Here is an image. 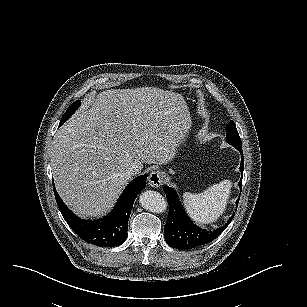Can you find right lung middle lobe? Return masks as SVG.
<instances>
[{
  "label": "right lung middle lobe",
  "mask_w": 307,
  "mask_h": 307,
  "mask_svg": "<svg viewBox=\"0 0 307 307\" xmlns=\"http://www.w3.org/2000/svg\"><path fill=\"white\" fill-rule=\"evenodd\" d=\"M80 106V102L79 100L75 101L69 108L68 110L65 112V114L63 115L59 126H61L67 119L70 118V116L75 112V110Z\"/></svg>",
  "instance_id": "1"
}]
</instances>
